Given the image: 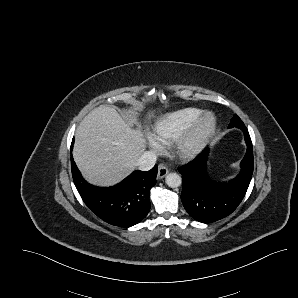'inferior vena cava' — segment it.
Listing matches in <instances>:
<instances>
[{
  "label": "inferior vena cava",
  "instance_id": "602c4592",
  "mask_svg": "<svg viewBox=\"0 0 298 298\" xmlns=\"http://www.w3.org/2000/svg\"><path fill=\"white\" fill-rule=\"evenodd\" d=\"M157 162V155L153 151H145L137 160V167L141 171L151 170Z\"/></svg>",
  "mask_w": 298,
  "mask_h": 298
}]
</instances>
